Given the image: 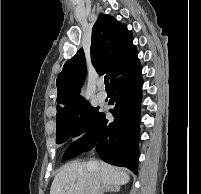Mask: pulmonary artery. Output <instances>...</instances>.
<instances>
[{"mask_svg": "<svg viewBox=\"0 0 201 194\" xmlns=\"http://www.w3.org/2000/svg\"><path fill=\"white\" fill-rule=\"evenodd\" d=\"M101 87H102V83H101ZM97 98L100 102H104L107 99V94L104 90L100 91L97 95Z\"/></svg>", "mask_w": 201, "mask_h": 194, "instance_id": "pulmonary-artery-1", "label": "pulmonary artery"}]
</instances>
